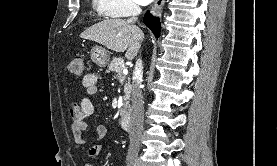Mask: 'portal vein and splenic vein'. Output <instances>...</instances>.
<instances>
[{
	"instance_id": "1",
	"label": "portal vein and splenic vein",
	"mask_w": 277,
	"mask_h": 166,
	"mask_svg": "<svg viewBox=\"0 0 277 166\" xmlns=\"http://www.w3.org/2000/svg\"><path fill=\"white\" fill-rule=\"evenodd\" d=\"M128 73V70L127 69H124L123 70V74H127Z\"/></svg>"
}]
</instances>
